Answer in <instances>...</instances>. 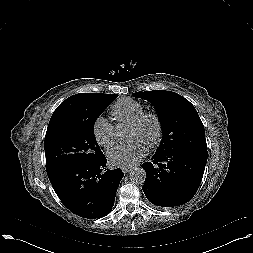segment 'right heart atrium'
<instances>
[{
    "label": "right heart atrium",
    "instance_id": "1",
    "mask_svg": "<svg viewBox=\"0 0 253 253\" xmlns=\"http://www.w3.org/2000/svg\"><path fill=\"white\" fill-rule=\"evenodd\" d=\"M93 135L102 147H110L115 141L114 126L104 117H97L93 124Z\"/></svg>",
    "mask_w": 253,
    "mask_h": 253
}]
</instances>
